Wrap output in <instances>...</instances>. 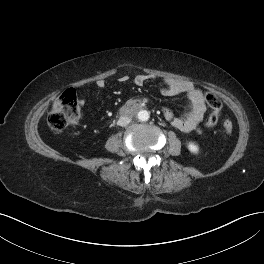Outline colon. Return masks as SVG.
Returning <instances> with one entry per match:
<instances>
[{
  "instance_id": "obj_1",
  "label": "colon",
  "mask_w": 264,
  "mask_h": 264,
  "mask_svg": "<svg viewBox=\"0 0 264 264\" xmlns=\"http://www.w3.org/2000/svg\"><path fill=\"white\" fill-rule=\"evenodd\" d=\"M203 96L211 112L206 120V126H214L220 117L222 103L219 98L210 91H204ZM80 115L78 99L74 90L69 89L60 95L55 101L52 110L48 116V125L55 132H61L70 123L76 121ZM225 134L230 135L233 130V123L230 120L223 122Z\"/></svg>"
}]
</instances>
